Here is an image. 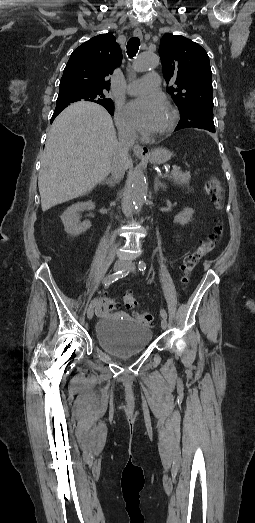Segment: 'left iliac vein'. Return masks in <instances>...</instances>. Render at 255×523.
Here are the masks:
<instances>
[{"label":"left iliac vein","mask_w":255,"mask_h":523,"mask_svg":"<svg viewBox=\"0 0 255 523\" xmlns=\"http://www.w3.org/2000/svg\"><path fill=\"white\" fill-rule=\"evenodd\" d=\"M125 267H126V269H127L128 271H130V272H132V273H135V271H136V266H135V264H134L133 262H131V261L127 262ZM161 328H162L163 330H165V329L167 328V320H166L165 318H163V319L161 320Z\"/></svg>","instance_id":"1"}]
</instances>
